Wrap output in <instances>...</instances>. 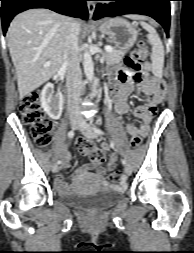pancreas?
Masks as SVG:
<instances>
[{"label":"pancreas","mask_w":194,"mask_h":253,"mask_svg":"<svg viewBox=\"0 0 194 253\" xmlns=\"http://www.w3.org/2000/svg\"><path fill=\"white\" fill-rule=\"evenodd\" d=\"M112 52H105V60L107 64L119 63L125 55V51L112 48Z\"/></svg>","instance_id":"pancreas-1"}]
</instances>
